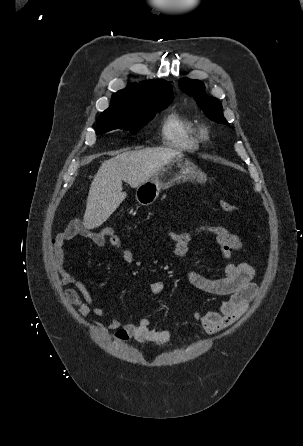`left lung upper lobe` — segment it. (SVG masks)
Masks as SVG:
<instances>
[{
	"instance_id": "left-lung-upper-lobe-1",
	"label": "left lung upper lobe",
	"mask_w": 303,
	"mask_h": 446,
	"mask_svg": "<svg viewBox=\"0 0 303 446\" xmlns=\"http://www.w3.org/2000/svg\"><path fill=\"white\" fill-rule=\"evenodd\" d=\"M180 89L190 96H194L197 104L204 114L211 120L219 124H228L223 116L222 105L214 97H209L205 92V85L202 81L191 79H180Z\"/></svg>"
}]
</instances>
